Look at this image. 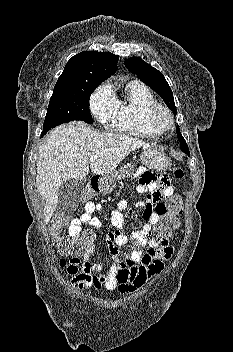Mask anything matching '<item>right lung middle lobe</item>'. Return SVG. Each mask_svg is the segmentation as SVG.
<instances>
[{"mask_svg":"<svg viewBox=\"0 0 233 352\" xmlns=\"http://www.w3.org/2000/svg\"><path fill=\"white\" fill-rule=\"evenodd\" d=\"M97 87L98 85H89L73 91H53L44 120L43 132H48L60 124L74 120L91 124L89 99Z\"/></svg>","mask_w":233,"mask_h":352,"instance_id":"dd1d6c3e","label":"right lung middle lobe"}]
</instances>
